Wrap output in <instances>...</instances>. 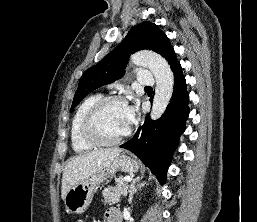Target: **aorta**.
<instances>
[{
    "label": "aorta",
    "mask_w": 257,
    "mask_h": 222,
    "mask_svg": "<svg viewBox=\"0 0 257 222\" xmlns=\"http://www.w3.org/2000/svg\"><path fill=\"white\" fill-rule=\"evenodd\" d=\"M136 66L148 67L156 79L151 119H159L165 112L172 97L174 76L168 62L160 55L150 51H139L131 56Z\"/></svg>",
    "instance_id": "aorta-1"
}]
</instances>
